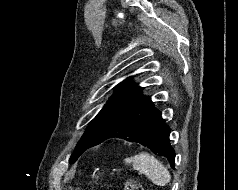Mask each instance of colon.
Here are the masks:
<instances>
[{
  "mask_svg": "<svg viewBox=\"0 0 238 190\" xmlns=\"http://www.w3.org/2000/svg\"><path fill=\"white\" fill-rule=\"evenodd\" d=\"M123 190H143V188L135 180H128L125 182Z\"/></svg>",
  "mask_w": 238,
  "mask_h": 190,
  "instance_id": "1",
  "label": "colon"
}]
</instances>
